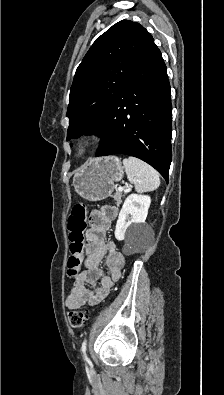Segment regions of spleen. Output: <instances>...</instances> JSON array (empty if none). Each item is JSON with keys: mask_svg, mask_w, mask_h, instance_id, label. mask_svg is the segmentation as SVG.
<instances>
[{"mask_svg": "<svg viewBox=\"0 0 224 395\" xmlns=\"http://www.w3.org/2000/svg\"><path fill=\"white\" fill-rule=\"evenodd\" d=\"M127 178L137 192H149L157 189L160 178L157 171L147 163L135 157L123 160Z\"/></svg>", "mask_w": 224, "mask_h": 395, "instance_id": "obj_1", "label": "spleen"}]
</instances>
